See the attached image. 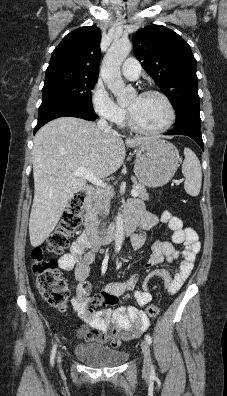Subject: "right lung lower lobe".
Listing matches in <instances>:
<instances>
[{
    "mask_svg": "<svg viewBox=\"0 0 227 396\" xmlns=\"http://www.w3.org/2000/svg\"><path fill=\"white\" fill-rule=\"evenodd\" d=\"M65 116L82 118L89 121L98 118L94 111L84 109L75 103L62 100L53 101L41 104L38 112V122L34 128V134L47 122Z\"/></svg>",
    "mask_w": 227,
    "mask_h": 396,
    "instance_id": "1",
    "label": "right lung lower lobe"
}]
</instances>
